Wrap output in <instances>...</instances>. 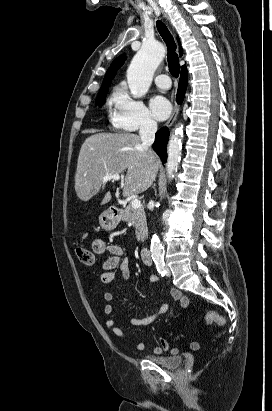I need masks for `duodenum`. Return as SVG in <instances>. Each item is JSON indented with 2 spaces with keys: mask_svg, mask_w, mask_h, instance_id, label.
<instances>
[{
  "mask_svg": "<svg viewBox=\"0 0 272 411\" xmlns=\"http://www.w3.org/2000/svg\"><path fill=\"white\" fill-rule=\"evenodd\" d=\"M109 211L114 215H119L120 212H121V209L119 207L113 205L109 208ZM140 255H141V258H142L143 262L146 265H151L152 264L153 260L151 258V253H150V250L148 248H143L140 252Z\"/></svg>",
  "mask_w": 272,
  "mask_h": 411,
  "instance_id": "duodenum-1",
  "label": "duodenum"
}]
</instances>
